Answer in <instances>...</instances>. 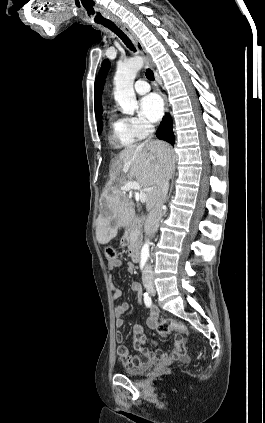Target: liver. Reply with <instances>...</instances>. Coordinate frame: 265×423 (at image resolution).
Here are the masks:
<instances>
[{
	"label": "liver",
	"instance_id": "6515ba94",
	"mask_svg": "<svg viewBox=\"0 0 265 423\" xmlns=\"http://www.w3.org/2000/svg\"><path fill=\"white\" fill-rule=\"evenodd\" d=\"M174 170V151L163 141L126 147L111 165L110 181L102 194L103 206L110 215L100 216L96 221V239L107 244L121 226L126 224L131 212L129 195L122 186L127 182H138L147 196L146 210L154 208L165 179Z\"/></svg>",
	"mask_w": 265,
	"mask_h": 423
}]
</instances>
